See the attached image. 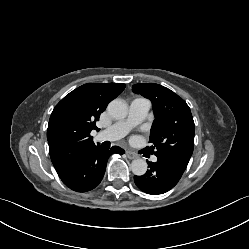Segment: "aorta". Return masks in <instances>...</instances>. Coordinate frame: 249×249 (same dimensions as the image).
Returning a JSON list of instances; mask_svg holds the SVG:
<instances>
[{"instance_id": "obj_1", "label": "aorta", "mask_w": 249, "mask_h": 249, "mask_svg": "<svg viewBox=\"0 0 249 249\" xmlns=\"http://www.w3.org/2000/svg\"><path fill=\"white\" fill-rule=\"evenodd\" d=\"M107 111L114 119H124L128 114V107L124 101L114 99L108 104ZM147 167V162L141 158L135 159L131 163V170L133 174L137 176L144 175L147 171Z\"/></svg>"}]
</instances>
